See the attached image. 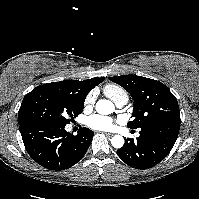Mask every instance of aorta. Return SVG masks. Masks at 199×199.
Masks as SVG:
<instances>
[{"mask_svg": "<svg viewBox=\"0 0 199 199\" xmlns=\"http://www.w3.org/2000/svg\"><path fill=\"white\" fill-rule=\"evenodd\" d=\"M96 111L101 115H108L114 112V104L109 100H99L96 103ZM111 144L114 148H121L124 145V138L120 135H115L111 139Z\"/></svg>", "mask_w": 199, "mask_h": 199, "instance_id": "762f6f07", "label": "aorta"}]
</instances>
